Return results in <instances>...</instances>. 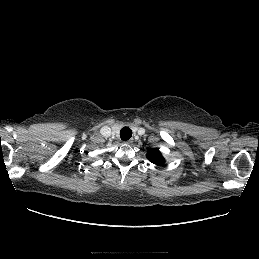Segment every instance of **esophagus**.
Masks as SVG:
<instances>
[{
	"label": "esophagus",
	"mask_w": 259,
	"mask_h": 259,
	"mask_svg": "<svg viewBox=\"0 0 259 259\" xmlns=\"http://www.w3.org/2000/svg\"><path fill=\"white\" fill-rule=\"evenodd\" d=\"M132 142H133V139H130V140H128L126 143H127V144H132Z\"/></svg>",
	"instance_id": "obj_1"
}]
</instances>
